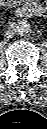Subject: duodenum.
Returning a JSON list of instances; mask_svg holds the SVG:
<instances>
[{
  "instance_id": "obj_1",
  "label": "duodenum",
  "mask_w": 47,
  "mask_h": 129,
  "mask_svg": "<svg viewBox=\"0 0 47 129\" xmlns=\"http://www.w3.org/2000/svg\"><path fill=\"white\" fill-rule=\"evenodd\" d=\"M43 9L35 3H27L16 10V14L20 17H29L32 15H41Z\"/></svg>"
}]
</instances>
